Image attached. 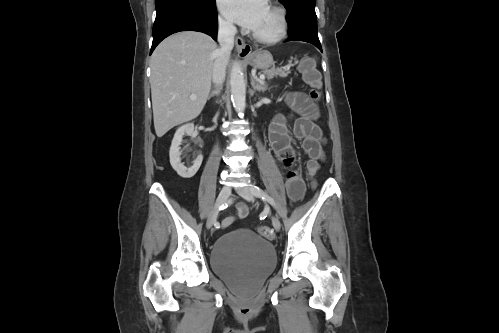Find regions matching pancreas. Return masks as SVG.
<instances>
[{
    "label": "pancreas",
    "instance_id": "pancreas-1",
    "mask_svg": "<svg viewBox=\"0 0 499 333\" xmlns=\"http://www.w3.org/2000/svg\"><path fill=\"white\" fill-rule=\"evenodd\" d=\"M290 68V65L287 68H277V69H269L265 70L264 74L270 79L273 78L274 76H279V77H287L290 71L288 69Z\"/></svg>",
    "mask_w": 499,
    "mask_h": 333
}]
</instances>
